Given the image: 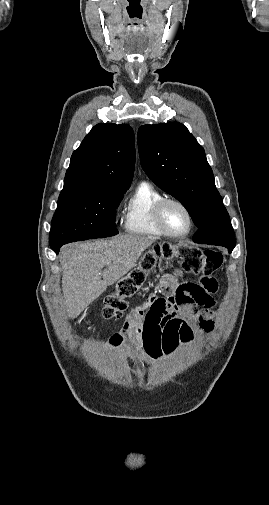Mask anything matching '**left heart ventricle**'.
<instances>
[{"label":"left heart ventricle","instance_id":"1","mask_svg":"<svg viewBox=\"0 0 269 505\" xmlns=\"http://www.w3.org/2000/svg\"><path fill=\"white\" fill-rule=\"evenodd\" d=\"M163 221L166 227L174 233H183L189 227V219L186 212L174 203H169L164 207Z\"/></svg>","mask_w":269,"mask_h":505}]
</instances>
